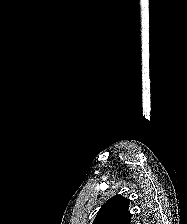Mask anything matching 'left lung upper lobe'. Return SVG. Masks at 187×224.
Returning <instances> with one entry per match:
<instances>
[{
  "mask_svg": "<svg viewBox=\"0 0 187 224\" xmlns=\"http://www.w3.org/2000/svg\"><path fill=\"white\" fill-rule=\"evenodd\" d=\"M129 200L120 195L109 199L98 211L93 224H130Z\"/></svg>",
  "mask_w": 187,
  "mask_h": 224,
  "instance_id": "1",
  "label": "left lung upper lobe"
}]
</instances>
